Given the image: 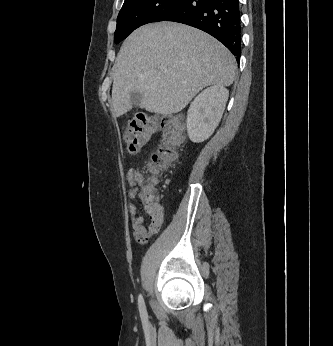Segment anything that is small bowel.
<instances>
[{
	"instance_id": "1",
	"label": "small bowel",
	"mask_w": 333,
	"mask_h": 346,
	"mask_svg": "<svg viewBox=\"0 0 333 346\" xmlns=\"http://www.w3.org/2000/svg\"><path fill=\"white\" fill-rule=\"evenodd\" d=\"M143 175L138 168H131L127 173L129 184L128 196L133 201L128 206L131 218L132 232L135 240L145 244L155 236L161 229L164 221L163 206L155 198H146L140 190ZM141 203L149 216V224L145 226L144 217L139 213L137 204Z\"/></svg>"
}]
</instances>
